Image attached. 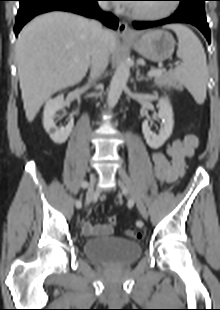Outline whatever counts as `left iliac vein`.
I'll use <instances>...</instances> for the list:
<instances>
[{"label":"left iliac vein","mask_w":220,"mask_h":310,"mask_svg":"<svg viewBox=\"0 0 220 310\" xmlns=\"http://www.w3.org/2000/svg\"><path fill=\"white\" fill-rule=\"evenodd\" d=\"M117 174L121 179V181L124 183L125 189L127 190L128 194L130 195L132 200L136 203V206L139 209L140 213L142 214L143 218L147 220L148 215L146 212V208L137 192L136 187L133 184V181L122 167L118 169Z\"/></svg>","instance_id":"4c4485c4"}]
</instances>
